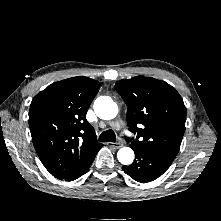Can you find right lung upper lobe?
Instances as JSON below:
<instances>
[{"mask_svg": "<svg viewBox=\"0 0 221 221\" xmlns=\"http://www.w3.org/2000/svg\"><path fill=\"white\" fill-rule=\"evenodd\" d=\"M99 88L96 80L72 77L49 85L31 102L34 148L46 169L59 179L79 171L103 146L86 119Z\"/></svg>", "mask_w": 221, "mask_h": 221, "instance_id": "right-lung-upper-lobe-1", "label": "right lung upper lobe"}]
</instances>
